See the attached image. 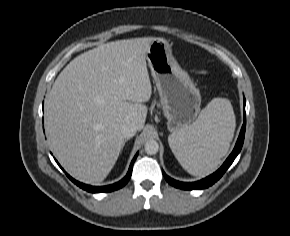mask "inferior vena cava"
I'll use <instances>...</instances> for the list:
<instances>
[{"mask_svg":"<svg viewBox=\"0 0 290 236\" xmlns=\"http://www.w3.org/2000/svg\"><path fill=\"white\" fill-rule=\"evenodd\" d=\"M136 132H137L136 127L131 123L124 124L121 127V133L124 136V138L129 139V138L133 137L136 134Z\"/></svg>","mask_w":290,"mask_h":236,"instance_id":"inferior-vena-cava-1","label":"inferior vena cava"}]
</instances>
